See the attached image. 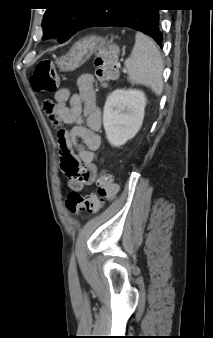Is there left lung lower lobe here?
I'll return each instance as SVG.
<instances>
[{
  "instance_id": "1",
  "label": "left lung lower lobe",
  "mask_w": 213,
  "mask_h": 338,
  "mask_svg": "<svg viewBox=\"0 0 213 338\" xmlns=\"http://www.w3.org/2000/svg\"><path fill=\"white\" fill-rule=\"evenodd\" d=\"M159 8L152 0H105L82 24L81 29L103 26H125L152 37L161 46Z\"/></svg>"
}]
</instances>
